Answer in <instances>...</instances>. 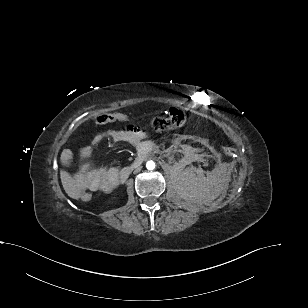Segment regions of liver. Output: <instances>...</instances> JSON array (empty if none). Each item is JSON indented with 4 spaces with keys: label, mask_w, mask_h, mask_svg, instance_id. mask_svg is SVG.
<instances>
[{
    "label": "liver",
    "mask_w": 308,
    "mask_h": 308,
    "mask_svg": "<svg viewBox=\"0 0 308 308\" xmlns=\"http://www.w3.org/2000/svg\"><path fill=\"white\" fill-rule=\"evenodd\" d=\"M61 182L64 187L65 192L71 197L76 199L78 197L77 191L74 187V183L70 175L66 171H61L60 173Z\"/></svg>",
    "instance_id": "1"
}]
</instances>
